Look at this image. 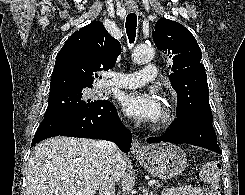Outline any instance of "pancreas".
Returning <instances> with one entry per match:
<instances>
[{
    "label": "pancreas",
    "instance_id": "cf45deb5",
    "mask_svg": "<svg viewBox=\"0 0 245 195\" xmlns=\"http://www.w3.org/2000/svg\"><path fill=\"white\" fill-rule=\"evenodd\" d=\"M161 186H162V184H158V185H157V187H161Z\"/></svg>",
    "mask_w": 245,
    "mask_h": 195
}]
</instances>
